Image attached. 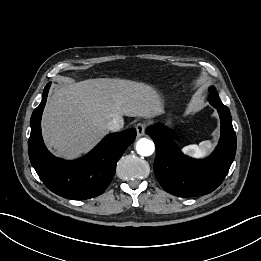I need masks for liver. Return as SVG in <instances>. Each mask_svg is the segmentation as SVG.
Here are the masks:
<instances>
[{
    "mask_svg": "<svg viewBox=\"0 0 261 261\" xmlns=\"http://www.w3.org/2000/svg\"><path fill=\"white\" fill-rule=\"evenodd\" d=\"M163 101L149 85L125 79L96 78L57 89L46 104L42 132L56 155L74 159L88 152L107 133L115 117L152 118Z\"/></svg>",
    "mask_w": 261,
    "mask_h": 261,
    "instance_id": "1",
    "label": "liver"
}]
</instances>
